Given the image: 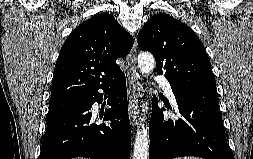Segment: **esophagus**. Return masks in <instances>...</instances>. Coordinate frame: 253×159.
I'll use <instances>...</instances> for the list:
<instances>
[{
	"mask_svg": "<svg viewBox=\"0 0 253 159\" xmlns=\"http://www.w3.org/2000/svg\"><path fill=\"white\" fill-rule=\"evenodd\" d=\"M137 52L138 45L135 39L131 52L129 54V67L127 70V78L129 86L131 89V95L129 98V118L131 120L132 126L135 127L139 123V91H140V82L135 74L136 62H137Z\"/></svg>",
	"mask_w": 253,
	"mask_h": 159,
	"instance_id": "esophagus-1",
	"label": "esophagus"
}]
</instances>
